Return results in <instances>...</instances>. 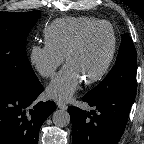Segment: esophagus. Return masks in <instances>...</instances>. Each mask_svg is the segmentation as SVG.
<instances>
[{
	"mask_svg": "<svg viewBox=\"0 0 144 144\" xmlns=\"http://www.w3.org/2000/svg\"><path fill=\"white\" fill-rule=\"evenodd\" d=\"M57 106H58V108L63 109V110H67V108H68V106L61 101L57 102Z\"/></svg>",
	"mask_w": 144,
	"mask_h": 144,
	"instance_id": "1",
	"label": "esophagus"
}]
</instances>
